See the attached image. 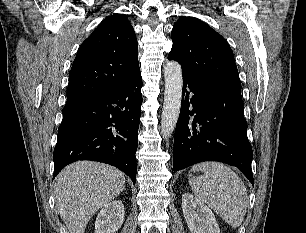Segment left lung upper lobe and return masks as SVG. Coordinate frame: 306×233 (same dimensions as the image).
Instances as JSON below:
<instances>
[{"instance_id": "5c2ea615", "label": "left lung upper lobe", "mask_w": 306, "mask_h": 233, "mask_svg": "<svg viewBox=\"0 0 306 233\" xmlns=\"http://www.w3.org/2000/svg\"><path fill=\"white\" fill-rule=\"evenodd\" d=\"M168 59L178 61L183 76L241 91L233 52L226 40L194 17H182L172 30Z\"/></svg>"}]
</instances>
